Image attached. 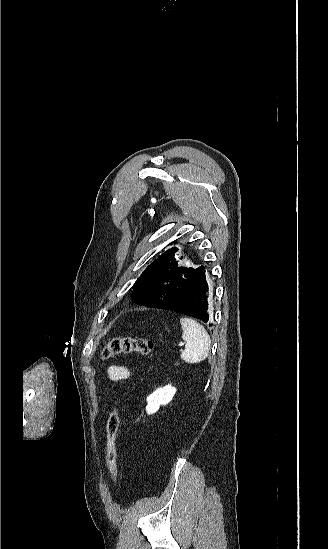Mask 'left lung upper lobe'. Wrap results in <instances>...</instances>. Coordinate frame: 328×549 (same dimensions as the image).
<instances>
[{
	"label": "left lung upper lobe",
	"mask_w": 328,
	"mask_h": 549,
	"mask_svg": "<svg viewBox=\"0 0 328 549\" xmlns=\"http://www.w3.org/2000/svg\"><path fill=\"white\" fill-rule=\"evenodd\" d=\"M178 248L167 250L153 261L133 285V299L145 306L153 305L168 299L176 290L180 280L191 273L194 268L178 264L175 253Z\"/></svg>",
	"instance_id": "5c2ea615"
}]
</instances>
